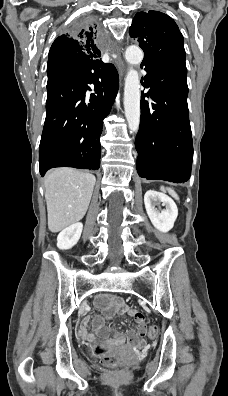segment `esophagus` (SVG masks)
Masks as SVG:
<instances>
[{
  "label": "esophagus",
  "instance_id": "34e87169",
  "mask_svg": "<svg viewBox=\"0 0 228 396\" xmlns=\"http://www.w3.org/2000/svg\"><path fill=\"white\" fill-rule=\"evenodd\" d=\"M120 51H121V47L119 46L117 48V52L120 53ZM118 69H119V71H120V73L122 75L123 74V64H122L121 60L118 61Z\"/></svg>",
  "mask_w": 228,
  "mask_h": 396
}]
</instances>
